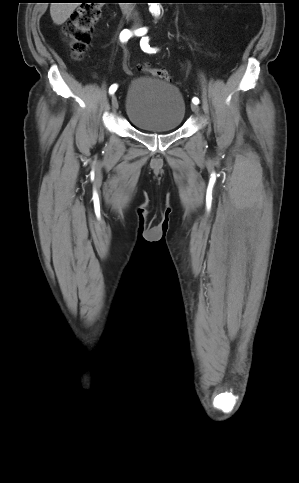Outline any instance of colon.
Listing matches in <instances>:
<instances>
[{"label": "colon", "mask_w": 299, "mask_h": 483, "mask_svg": "<svg viewBox=\"0 0 299 483\" xmlns=\"http://www.w3.org/2000/svg\"><path fill=\"white\" fill-rule=\"evenodd\" d=\"M102 3V0H94L80 6L71 14L70 20L65 26V38L70 44L72 56L77 60L88 51L93 29L102 15ZM141 70L163 81L170 80V74L165 69L145 65L141 67Z\"/></svg>", "instance_id": "5ec220e1"}]
</instances>
